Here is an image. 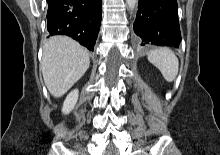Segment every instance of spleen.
I'll list each match as a JSON object with an SVG mask.
<instances>
[{
	"instance_id": "spleen-1",
	"label": "spleen",
	"mask_w": 220,
	"mask_h": 155,
	"mask_svg": "<svg viewBox=\"0 0 220 155\" xmlns=\"http://www.w3.org/2000/svg\"><path fill=\"white\" fill-rule=\"evenodd\" d=\"M148 60L156 66L167 82L175 80L178 74L179 61L168 48L161 47L148 53Z\"/></svg>"
}]
</instances>
